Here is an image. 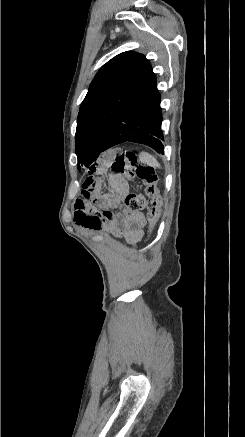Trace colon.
Wrapping results in <instances>:
<instances>
[{
    "label": "colon",
    "mask_w": 245,
    "mask_h": 437,
    "mask_svg": "<svg viewBox=\"0 0 245 437\" xmlns=\"http://www.w3.org/2000/svg\"><path fill=\"white\" fill-rule=\"evenodd\" d=\"M111 169L127 179L138 177L142 180L146 197L140 193H130L124 200V208L127 212H139L146 208L149 229L152 231L157 226L162 213L155 169L140 162L132 151L118 153Z\"/></svg>",
    "instance_id": "colon-1"
}]
</instances>
